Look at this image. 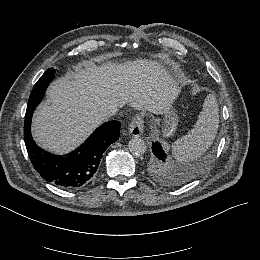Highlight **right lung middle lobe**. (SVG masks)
Segmentation results:
<instances>
[{
  "mask_svg": "<svg viewBox=\"0 0 260 260\" xmlns=\"http://www.w3.org/2000/svg\"><path fill=\"white\" fill-rule=\"evenodd\" d=\"M54 70L52 68L48 69L43 76L38 80V82L35 84L29 101H28V106L27 109L30 110H34L35 107L39 104V102L41 101V99L43 98L45 89H42L44 86V81L48 80L51 81L53 76H54Z\"/></svg>",
  "mask_w": 260,
  "mask_h": 260,
  "instance_id": "obj_1",
  "label": "right lung middle lobe"
}]
</instances>
